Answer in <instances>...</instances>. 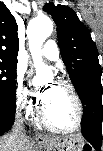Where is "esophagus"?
<instances>
[{
	"label": "esophagus",
	"mask_w": 103,
	"mask_h": 151,
	"mask_svg": "<svg viewBox=\"0 0 103 151\" xmlns=\"http://www.w3.org/2000/svg\"><path fill=\"white\" fill-rule=\"evenodd\" d=\"M35 138H36V140L39 141V142H44V141H46V137L43 136L42 134H36V135H35Z\"/></svg>",
	"instance_id": "obj_1"
}]
</instances>
